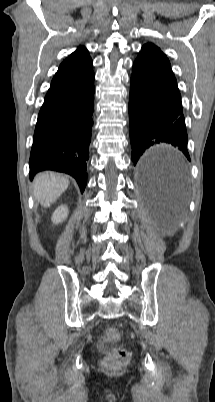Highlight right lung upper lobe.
I'll list each match as a JSON object with an SVG mask.
<instances>
[{
  "label": "right lung upper lobe",
  "mask_w": 215,
  "mask_h": 402,
  "mask_svg": "<svg viewBox=\"0 0 215 402\" xmlns=\"http://www.w3.org/2000/svg\"><path fill=\"white\" fill-rule=\"evenodd\" d=\"M92 63L88 50L80 46L60 64L45 98L59 95L85 82L94 74Z\"/></svg>",
  "instance_id": "1"
}]
</instances>
